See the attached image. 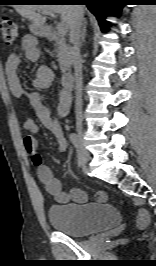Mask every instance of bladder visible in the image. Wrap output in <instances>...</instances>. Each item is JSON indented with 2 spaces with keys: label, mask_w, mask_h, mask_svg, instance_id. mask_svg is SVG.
Returning <instances> with one entry per match:
<instances>
[{
  "label": "bladder",
  "mask_w": 156,
  "mask_h": 266,
  "mask_svg": "<svg viewBox=\"0 0 156 266\" xmlns=\"http://www.w3.org/2000/svg\"><path fill=\"white\" fill-rule=\"evenodd\" d=\"M50 224L73 237L87 236L117 225L120 214L109 204H60L48 210Z\"/></svg>",
  "instance_id": "1"
}]
</instances>
